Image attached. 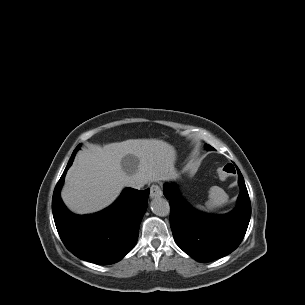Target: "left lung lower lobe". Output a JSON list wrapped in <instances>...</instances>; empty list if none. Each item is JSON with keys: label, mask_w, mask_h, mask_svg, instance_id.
Segmentation results:
<instances>
[{"label": "left lung lower lobe", "mask_w": 305, "mask_h": 305, "mask_svg": "<svg viewBox=\"0 0 305 305\" xmlns=\"http://www.w3.org/2000/svg\"><path fill=\"white\" fill-rule=\"evenodd\" d=\"M238 207L228 215H206L189 206L175 189L164 188L170 200V225L177 245L200 262L228 255L241 243L246 233L251 204L241 173Z\"/></svg>", "instance_id": "obj_1"}]
</instances>
